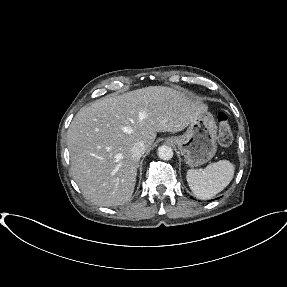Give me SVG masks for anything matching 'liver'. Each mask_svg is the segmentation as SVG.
I'll list each match as a JSON object with an SVG mask.
<instances>
[{
  "mask_svg": "<svg viewBox=\"0 0 287 287\" xmlns=\"http://www.w3.org/2000/svg\"><path fill=\"white\" fill-rule=\"evenodd\" d=\"M206 105L180 88L149 86L106 96L82 107L67 131L71 173L85 198L110 207L130 201L139 159L132 147L150 151L157 132H180Z\"/></svg>",
  "mask_w": 287,
  "mask_h": 287,
  "instance_id": "1",
  "label": "liver"
}]
</instances>
